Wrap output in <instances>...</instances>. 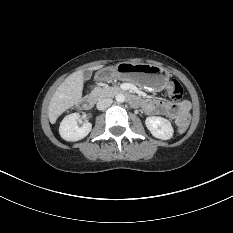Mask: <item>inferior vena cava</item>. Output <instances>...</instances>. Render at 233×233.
<instances>
[{
  "instance_id": "1",
  "label": "inferior vena cava",
  "mask_w": 233,
  "mask_h": 233,
  "mask_svg": "<svg viewBox=\"0 0 233 233\" xmlns=\"http://www.w3.org/2000/svg\"><path fill=\"white\" fill-rule=\"evenodd\" d=\"M113 103V100L111 98H103V99H100L98 102H97V109L98 110H105L106 108H108L111 104Z\"/></svg>"
}]
</instances>
